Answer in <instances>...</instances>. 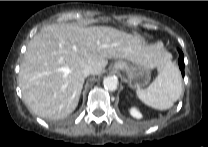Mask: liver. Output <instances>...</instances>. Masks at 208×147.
I'll use <instances>...</instances> for the list:
<instances>
[{
    "mask_svg": "<svg viewBox=\"0 0 208 147\" xmlns=\"http://www.w3.org/2000/svg\"><path fill=\"white\" fill-rule=\"evenodd\" d=\"M112 58L154 69L162 66L170 54L112 27H43L30 41L18 76L26 105L41 117L68 116L79 102L85 80L82 69L92 66L93 74L99 75Z\"/></svg>",
    "mask_w": 208,
    "mask_h": 147,
    "instance_id": "obj_1",
    "label": "liver"
}]
</instances>
